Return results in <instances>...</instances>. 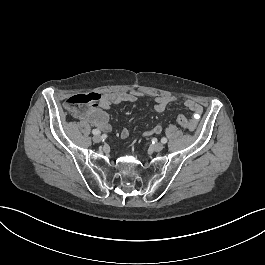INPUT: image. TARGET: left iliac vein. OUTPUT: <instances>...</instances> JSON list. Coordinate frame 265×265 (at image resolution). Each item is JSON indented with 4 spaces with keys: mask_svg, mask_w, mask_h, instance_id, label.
<instances>
[{
    "mask_svg": "<svg viewBox=\"0 0 265 265\" xmlns=\"http://www.w3.org/2000/svg\"><path fill=\"white\" fill-rule=\"evenodd\" d=\"M153 150L159 152L164 148V145L162 143H155L152 145Z\"/></svg>",
    "mask_w": 265,
    "mask_h": 265,
    "instance_id": "obj_1",
    "label": "left iliac vein"
}]
</instances>
